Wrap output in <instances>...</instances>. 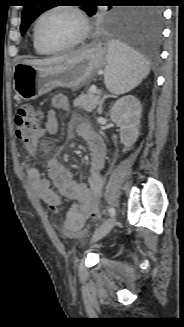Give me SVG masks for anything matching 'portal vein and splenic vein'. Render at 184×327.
I'll list each match as a JSON object with an SVG mask.
<instances>
[{
    "label": "portal vein and splenic vein",
    "mask_w": 184,
    "mask_h": 327,
    "mask_svg": "<svg viewBox=\"0 0 184 327\" xmlns=\"http://www.w3.org/2000/svg\"><path fill=\"white\" fill-rule=\"evenodd\" d=\"M90 90H91L92 92H94V93L97 92V88H96L95 86H92V87L90 88Z\"/></svg>",
    "instance_id": "1"
}]
</instances>
